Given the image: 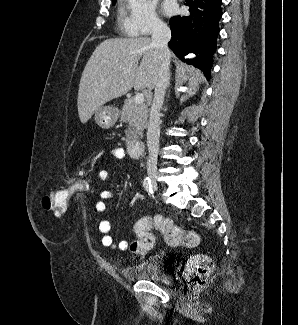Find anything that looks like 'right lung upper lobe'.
Here are the masks:
<instances>
[{
  "label": "right lung upper lobe",
  "mask_w": 298,
  "mask_h": 325,
  "mask_svg": "<svg viewBox=\"0 0 298 325\" xmlns=\"http://www.w3.org/2000/svg\"><path fill=\"white\" fill-rule=\"evenodd\" d=\"M116 2V0H113V3H115Z\"/></svg>",
  "instance_id": "obj_1"
}]
</instances>
